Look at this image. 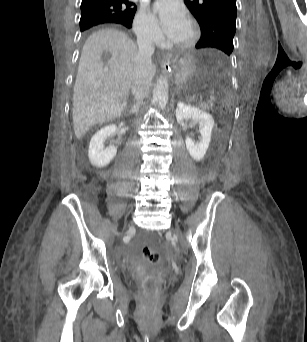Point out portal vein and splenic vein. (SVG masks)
<instances>
[{
    "mask_svg": "<svg viewBox=\"0 0 307 342\" xmlns=\"http://www.w3.org/2000/svg\"><path fill=\"white\" fill-rule=\"evenodd\" d=\"M199 101V105L202 106L204 103L202 102L203 101V98L202 96L200 95L199 98L197 99Z\"/></svg>",
    "mask_w": 307,
    "mask_h": 342,
    "instance_id": "1",
    "label": "portal vein and splenic vein"
}]
</instances>
